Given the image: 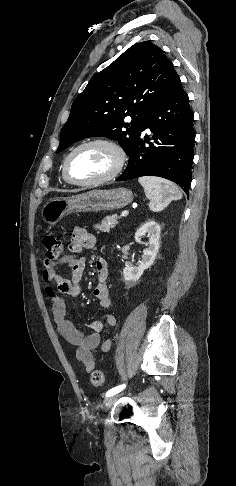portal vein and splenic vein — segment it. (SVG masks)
<instances>
[{
    "mask_svg": "<svg viewBox=\"0 0 236 486\" xmlns=\"http://www.w3.org/2000/svg\"><path fill=\"white\" fill-rule=\"evenodd\" d=\"M127 215H128V211H127V210H125V211H123V212L121 213V217H125V216H127Z\"/></svg>",
    "mask_w": 236,
    "mask_h": 486,
    "instance_id": "1",
    "label": "portal vein and splenic vein"
}]
</instances>
